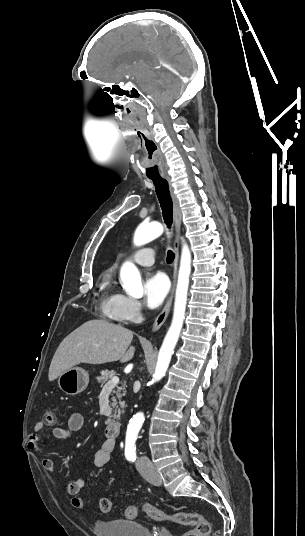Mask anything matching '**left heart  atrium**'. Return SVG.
Returning a JSON list of instances; mask_svg holds the SVG:
<instances>
[{
  "instance_id": "1",
  "label": "left heart atrium",
  "mask_w": 305,
  "mask_h": 536,
  "mask_svg": "<svg viewBox=\"0 0 305 536\" xmlns=\"http://www.w3.org/2000/svg\"><path fill=\"white\" fill-rule=\"evenodd\" d=\"M169 289L166 276L162 273H151L145 277V301L150 308L159 307Z\"/></svg>"
}]
</instances>
